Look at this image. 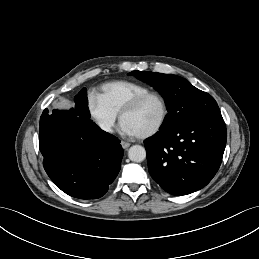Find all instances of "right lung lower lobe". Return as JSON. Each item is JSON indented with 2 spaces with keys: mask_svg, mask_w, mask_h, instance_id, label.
<instances>
[{
  "mask_svg": "<svg viewBox=\"0 0 259 259\" xmlns=\"http://www.w3.org/2000/svg\"><path fill=\"white\" fill-rule=\"evenodd\" d=\"M39 148L50 179L80 199L102 197L121 167L120 140L101 130L76 109H45L40 118Z\"/></svg>",
  "mask_w": 259,
  "mask_h": 259,
  "instance_id": "obj_1",
  "label": "right lung lower lobe"
}]
</instances>
